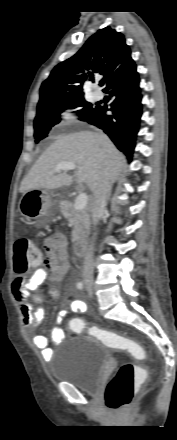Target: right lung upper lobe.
Masks as SVG:
<instances>
[{
	"instance_id": "1",
	"label": "right lung upper lobe",
	"mask_w": 177,
	"mask_h": 440,
	"mask_svg": "<svg viewBox=\"0 0 177 440\" xmlns=\"http://www.w3.org/2000/svg\"><path fill=\"white\" fill-rule=\"evenodd\" d=\"M134 66L124 35L109 26L100 29L75 55L55 66L41 85L38 106L84 95V84L97 75H103L107 87Z\"/></svg>"
}]
</instances>
